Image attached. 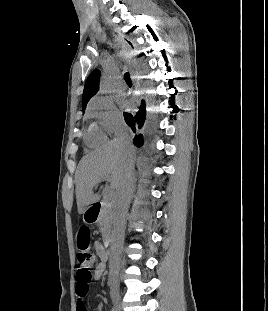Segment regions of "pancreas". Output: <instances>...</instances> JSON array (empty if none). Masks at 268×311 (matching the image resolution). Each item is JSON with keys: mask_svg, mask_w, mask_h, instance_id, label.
<instances>
[{"mask_svg": "<svg viewBox=\"0 0 268 311\" xmlns=\"http://www.w3.org/2000/svg\"><path fill=\"white\" fill-rule=\"evenodd\" d=\"M113 215L114 211L112 209V203L110 201H107L106 204L103 206L98 220L100 232L102 233V237L104 240H106L110 235Z\"/></svg>", "mask_w": 268, "mask_h": 311, "instance_id": "obj_1", "label": "pancreas"}]
</instances>
